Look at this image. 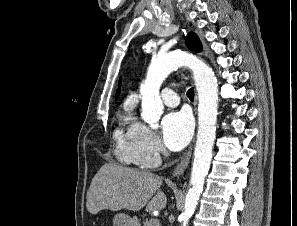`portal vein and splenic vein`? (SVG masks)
<instances>
[{
    "instance_id": "portal-vein-and-splenic-vein-1",
    "label": "portal vein and splenic vein",
    "mask_w": 297,
    "mask_h": 226,
    "mask_svg": "<svg viewBox=\"0 0 297 226\" xmlns=\"http://www.w3.org/2000/svg\"><path fill=\"white\" fill-rule=\"evenodd\" d=\"M151 222L156 224L158 222V220L157 219H152Z\"/></svg>"
}]
</instances>
